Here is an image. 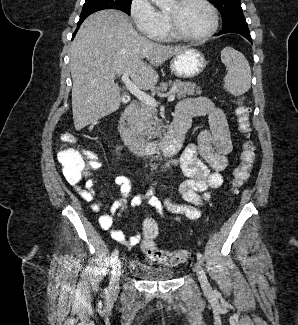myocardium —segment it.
<instances>
[{
  "label": "myocardium",
  "instance_id": "1",
  "mask_svg": "<svg viewBox=\"0 0 298 325\" xmlns=\"http://www.w3.org/2000/svg\"><path fill=\"white\" fill-rule=\"evenodd\" d=\"M188 1H195L201 4L209 13L211 24L209 29L202 35L189 37L184 35L177 27L176 20L169 8L162 5V10L166 18V36L183 42L199 43L208 40L217 30L218 21L213 7L205 0H170V3L181 5Z\"/></svg>",
  "mask_w": 298,
  "mask_h": 325
}]
</instances>
